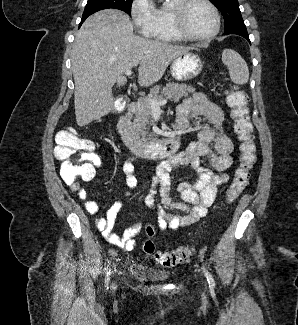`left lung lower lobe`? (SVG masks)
<instances>
[{
    "mask_svg": "<svg viewBox=\"0 0 298 325\" xmlns=\"http://www.w3.org/2000/svg\"><path fill=\"white\" fill-rule=\"evenodd\" d=\"M227 35L228 34H236V35H240L244 38H246L249 42V36H248V33H247V30H246V27H239V28H235L229 32H225Z\"/></svg>",
    "mask_w": 298,
    "mask_h": 325,
    "instance_id": "0a47b994",
    "label": "left lung lower lobe"
}]
</instances>
